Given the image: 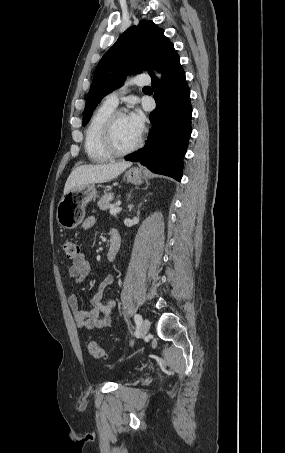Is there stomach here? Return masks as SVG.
<instances>
[{
    "instance_id": "0dacf381",
    "label": "stomach",
    "mask_w": 285,
    "mask_h": 453,
    "mask_svg": "<svg viewBox=\"0 0 285 453\" xmlns=\"http://www.w3.org/2000/svg\"><path fill=\"white\" fill-rule=\"evenodd\" d=\"M127 180L135 185L142 183V172L131 168L125 172ZM97 194L93 184L76 187L65 194L58 203L56 218L58 224L65 229H74L85 217L86 205L95 199Z\"/></svg>"
}]
</instances>
